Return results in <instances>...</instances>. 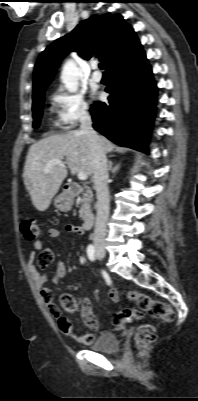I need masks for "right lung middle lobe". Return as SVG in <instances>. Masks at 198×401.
I'll list each match as a JSON object with an SVG mask.
<instances>
[{"label":"right lung middle lobe","mask_w":198,"mask_h":401,"mask_svg":"<svg viewBox=\"0 0 198 401\" xmlns=\"http://www.w3.org/2000/svg\"><path fill=\"white\" fill-rule=\"evenodd\" d=\"M44 103V92L39 93L33 97V127L37 128L40 124V119L42 116V108Z\"/></svg>","instance_id":"obj_1"}]
</instances>
